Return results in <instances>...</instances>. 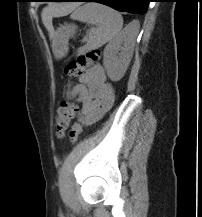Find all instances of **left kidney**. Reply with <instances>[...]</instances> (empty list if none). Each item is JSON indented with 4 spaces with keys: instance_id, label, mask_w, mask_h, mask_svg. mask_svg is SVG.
I'll return each instance as SVG.
<instances>
[{
    "instance_id": "1",
    "label": "left kidney",
    "mask_w": 202,
    "mask_h": 217,
    "mask_svg": "<svg viewBox=\"0 0 202 217\" xmlns=\"http://www.w3.org/2000/svg\"><path fill=\"white\" fill-rule=\"evenodd\" d=\"M135 35L128 26L104 49L103 65L108 77L114 82L119 81L129 67L135 45ZM122 42H124L123 46Z\"/></svg>"
}]
</instances>
